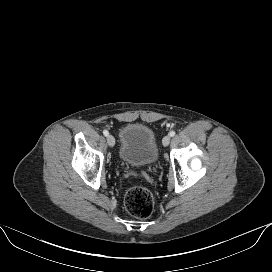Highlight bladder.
Segmentation results:
<instances>
[{
  "label": "bladder",
  "mask_w": 272,
  "mask_h": 272,
  "mask_svg": "<svg viewBox=\"0 0 272 272\" xmlns=\"http://www.w3.org/2000/svg\"><path fill=\"white\" fill-rule=\"evenodd\" d=\"M159 155L152 129L143 124H128L120 133L119 156L129 165L143 167L154 164Z\"/></svg>",
  "instance_id": "obj_1"
}]
</instances>
